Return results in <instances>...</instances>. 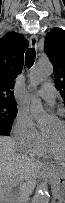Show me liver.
<instances>
[{"mask_svg": "<svg viewBox=\"0 0 65 203\" xmlns=\"http://www.w3.org/2000/svg\"><path fill=\"white\" fill-rule=\"evenodd\" d=\"M51 164L20 155L15 151L12 138L0 137V197L11 198L13 203H24L35 187V179ZM17 188V191H14Z\"/></svg>", "mask_w": 65, "mask_h": 203, "instance_id": "obj_1", "label": "liver"}]
</instances>
